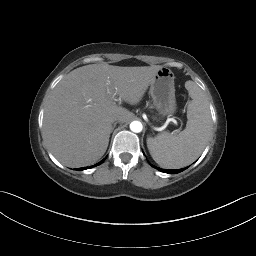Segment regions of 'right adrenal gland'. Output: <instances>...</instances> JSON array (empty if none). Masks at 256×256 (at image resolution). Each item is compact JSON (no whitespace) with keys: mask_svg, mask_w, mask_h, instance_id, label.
Returning a JSON list of instances; mask_svg holds the SVG:
<instances>
[{"mask_svg":"<svg viewBox=\"0 0 256 256\" xmlns=\"http://www.w3.org/2000/svg\"><path fill=\"white\" fill-rule=\"evenodd\" d=\"M115 127H116V123L113 124L112 131L114 130Z\"/></svg>","mask_w":256,"mask_h":256,"instance_id":"obj_1","label":"right adrenal gland"}]
</instances>
